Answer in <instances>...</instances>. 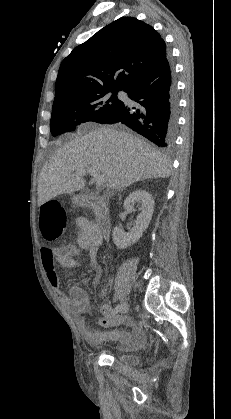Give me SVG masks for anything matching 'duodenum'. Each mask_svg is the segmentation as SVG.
Wrapping results in <instances>:
<instances>
[{
	"instance_id": "410a0bca",
	"label": "duodenum",
	"mask_w": 231,
	"mask_h": 419,
	"mask_svg": "<svg viewBox=\"0 0 231 419\" xmlns=\"http://www.w3.org/2000/svg\"><path fill=\"white\" fill-rule=\"evenodd\" d=\"M78 203L82 207H91L95 211L96 226L102 239L107 238L111 230L109 208L104 200L94 194H82L78 197Z\"/></svg>"
}]
</instances>
